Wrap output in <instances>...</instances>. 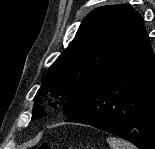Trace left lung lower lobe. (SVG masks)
<instances>
[{
	"mask_svg": "<svg viewBox=\"0 0 155 149\" xmlns=\"http://www.w3.org/2000/svg\"><path fill=\"white\" fill-rule=\"evenodd\" d=\"M94 126L155 149V58L143 26L136 24L105 74L66 120Z\"/></svg>",
	"mask_w": 155,
	"mask_h": 149,
	"instance_id": "0a47b994",
	"label": "left lung lower lobe"
}]
</instances>
